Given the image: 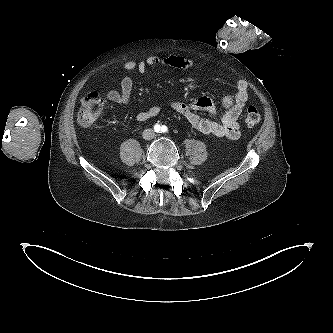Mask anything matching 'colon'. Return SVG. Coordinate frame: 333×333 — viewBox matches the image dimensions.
Masks as SVG:
<instances>
[{"label": "colon", "mask_w": 333, "mask_h": 333, "mask_svg": "<svg viewBox=\"0 0 333 333\" xmlns=\"http://www.w3.org/2000/svg\"><path fill=\"white\" fill-rule=\"evenodd\" d=\"M104 101L97 91L88 92L81 101V106L77 114V120L81 125L87 126L95 122L102 114ZM244 122L249 127L257 126L261 122V114L257 107L249 106L246 109Z\"/></svg>", "instance_id": "1"}]
</instances>
